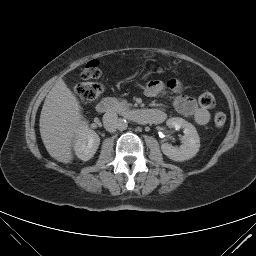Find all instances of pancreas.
Segmentation results:
<instances>
[{"label":"pancreas","instance_id":"cf45deb5","mask_svg":"<svg viewBox=\"0 0 256 256\" xmlns=\"http://www.w3.org/2000/svg\"><path fill=\"white\" fill-rule=\"evenodd\" d=\"M131 106H132V104L128 103L126 100H121V101L116 100V106L115 107L120 111L126 110Z\"/></svg>","mask_w":256,"mask_h":256}]
</instances>
